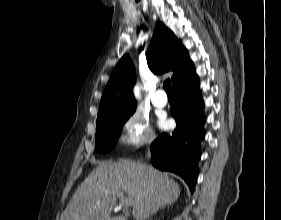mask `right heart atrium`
Instances as JSON below:
<instances>
[{"instance_id":"obj_1","label":"right heart atrium","mask_w":281,"mask_h":220,"mask_svg":"<svg viewBox=\"0 0 281 220\" xmlns=\"http://www.w3.org/2000/svg\"><path fill=\"white\" fill-rule=\"evenodd\" d=\"M121 140L132 148L150 145L155 141L150 120L144 112L135 110L126 117Z\"/></svg>"}]
</instances>
